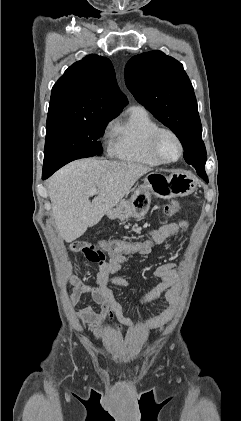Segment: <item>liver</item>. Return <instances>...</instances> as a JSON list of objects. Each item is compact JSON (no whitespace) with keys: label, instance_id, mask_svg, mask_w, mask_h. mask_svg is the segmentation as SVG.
Returning a JSON list of instances; mask_svg holds the SVG:
<instances>
[{"label":"liver","instance_id":"liver-1","mask_svg":"<svg viewBox=\"0 0 241 421\" xmlns=\"http://www.w3.org/2000/svg\"><path fill=\"white\" fill-rule=\"evenodd\" d=\"M152 171L133 162L80 159L57 171L48 182L52 214L59 236L66 242L96 225L129 193L135 182ZM98 193L89 200L88 192Z\"/></svg>","mask_w":241,"mask_h":421}]
</instances>
